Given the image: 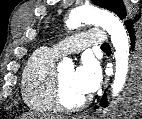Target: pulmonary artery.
<instances>
[{"label": "pulmonary artery", "mask_w": 142, "mask_h": 119, "mask_svg": "<svg viewBox=\"0 0 142 119\" xmlns=\"http://www.w3.org/2000/svg\"><path fill=\"white\" fill-rule=\"evenodd\" d=\"M107 42L105 33L100 28L88 31L57 42L54 50L58 55L78 53L88 46H102Z\"/></svg>", "instance_id": "pulmonary-artery-1"}]
</instances>
